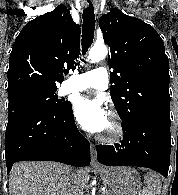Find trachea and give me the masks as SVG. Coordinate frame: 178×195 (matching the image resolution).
<instances>
[{"label":"trachea","instance_id":"obj_1","mask_svg":"<svg viewBox=\"0 0 178 195\" xmlns=\"http://www.w3.org/2000/svg\"><path fill=\"white\" fill-rule=\"evenodd\" d=\"M95 30V15L93 4L88 0V6L83 11V25H82V52L86 54L93 42Z\"/></svg>","mask_w":178,"mask_h":195}]
</instances>
